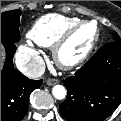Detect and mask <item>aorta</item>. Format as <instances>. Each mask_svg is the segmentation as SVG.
<instances>
[{
  "label": "aorta",
  "instance_id": "762f6f07",
  "mask_svg": "<svg viewBox=\"0 0 121 121\" xmlns=\"http://www.w3.org/2000/svg\"><path fill=\"white\" fill-rule=\"evenodd\" d=\"M52 93L56 99L62 100L66 96V89L62 85H56L53 87Z\"/></svg>",
  "mask_w": 121,
  "mask_h": 121
}]
</instances>
